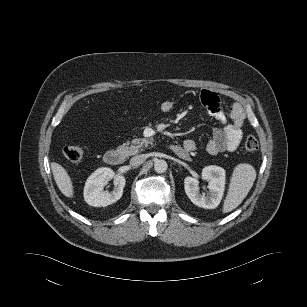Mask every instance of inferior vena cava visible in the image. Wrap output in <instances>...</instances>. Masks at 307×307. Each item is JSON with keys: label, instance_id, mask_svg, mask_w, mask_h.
<instances>
[{"label": "inferior vena cava", "instance_id": "inferior-vena-cava-1", "mask_svg": "<svg viewBox=\"0 0 307 307\" xmlns=\"http://www.w3.org/2000/svg\"><path fill=\"white\" fill-rule=\"evenodd\" d=\"M146 160V155H136L130 159L131 166H139Z\"/></svg>", "mask_w": 307, "mask_h": 307}]
</instances>
